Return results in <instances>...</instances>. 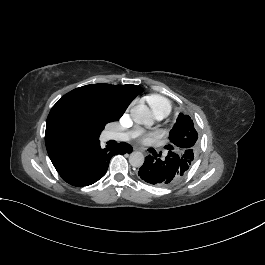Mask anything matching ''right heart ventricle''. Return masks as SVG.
Segmentation results:
<instances>
[{
	"mask_svg": "<svg viewBox=\"0 0 265 265\" xmlns=\"http://www.w3.org/2000/svg\"><path fill=\"white\" fill-rule=\"evenodd\" d=\"M146 103L160 117L166 116L170 108L168 101L161 95L152 94L148 96Z\"/></svg>",
	"mask_w": 265,
	"mask_h": 265,
	"instance_id": "right-heart-ventricle-1",
	"label": "right heart ventricle"
}]
</instances>
